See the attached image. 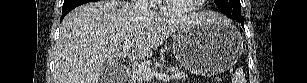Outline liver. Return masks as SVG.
Returning a JSON list of instances; mask_svg holds the SVG:
<instances>
[{
  "label": "liver",
  "instance_id": "obj_1",
  "mask_svg": "<svg viewBox=\"0 0 307 83\" xmlns=\"http://www.w3.org/2000/svg\"><path fill=\"white\" fill-rule=\"evenodd\" d=\"M218 20L217 14L209 12L175 17L120 0L83 4L61 23L54 83H103L102 72L118 65L128 44L133 57L147 59L171 34Z\"/></svg>",
  "mask_w": 307,
  "mask_h": 83
}]
</instances>
